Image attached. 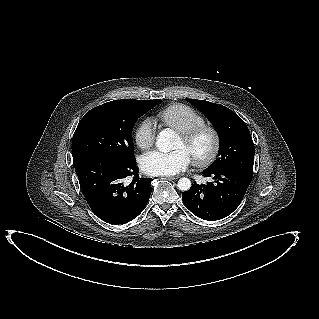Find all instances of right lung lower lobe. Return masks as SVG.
<instances>
[{
    "instance_id": "obj_1",
    "label": "right lung lower lobe",
    "mask_w": 319,
    "mask_h": 319,
    "mask_svg": "<svg viewBox=\"0 0 319 319\" xmlns=\"http://www.w3.org/2000/svg\"><path fill=\"white\" fill-rule=\"evenodd\" d=\"M82 193L91 210L110 224L135 219L151 194V178H139L135 159L126 162L109 156L85 159L74 165ZM133 175L129 185L124 179Z\"/></svg>"
}]
</instances>
